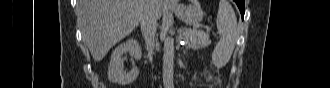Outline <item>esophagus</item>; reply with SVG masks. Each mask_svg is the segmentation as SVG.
Here are the masks:
<instances>
[{"instance_id": "obj_1", "label": "esophagus", "mask_w": 330, "mask_h": 88, "mask_svg": "<svg viewBox=\"0 0 330 88\" xmlns=\"http://www.w3.org/2000/svg\"><path fill=\"white\" fill-rule=\"evenodd\" d=\"M165 3L167 5H171V6L177 5V1L176 0H165Z\"/></svg>"}]
</instances>
